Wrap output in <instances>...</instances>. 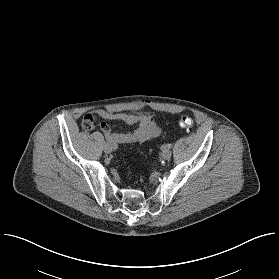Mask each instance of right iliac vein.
Instances as JSON below:
<instances>
[{
	"instance_id": "63e3f726",
	"label": "right iliac vein",
	"mask_w": 279,
	"mask_h": 279,
	"mask_svg": "<svg viewBox=\"0 0 279 279\" xmlns=\"http://www.w3.org/2000/svg\"><path fill=\"white\" fill-rule=\"evenodd\" d=\"M103 149L105 153H110L112 151V145L110 143H105Z\"/></svg>"
}]
</instances>
